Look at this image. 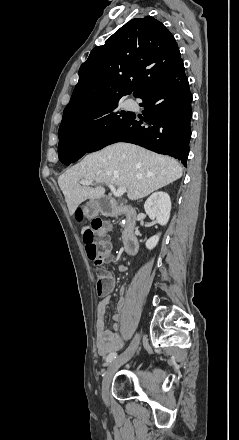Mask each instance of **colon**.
<instances>
[{"label": "colon", "mask_w": 239, "mask_h": 440, "mask_svg": "<svg viewBox=\"0 0 239 440\" xmlns=\"http://www.w3.org/2000/svg\"><path fill=\"white\" fill-rule=\"evenodd\" d=\"M109 223L96 218L92 222V226L85 230L83 241L87 257L93 261L98 267L109 264L111 261L110 252L111 244L107 235ZM109 286V273L105 269L98 271L97 291L104 294Z\"/></svg>", "instance_id": "obj_1"}]
</instances>
